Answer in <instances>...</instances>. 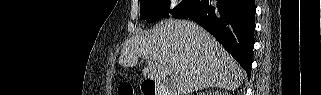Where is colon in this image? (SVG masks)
<instances>
[{
  "label": "colon",
  "mask_w": 321,
  "mask_h": 95,
  "mask_svg": "<svg viewBox=\"0 0 321 95\" xmlns=\"http://www.w3.org/2000/svg\"><path fill=\"white\" fill-rule=\"evenodd\" d=\"M118 94L119 95H134L133 88L130 83L122 82L118 86Z\"/></svg>",
  "instance_id": "1"
}]
</instances>
